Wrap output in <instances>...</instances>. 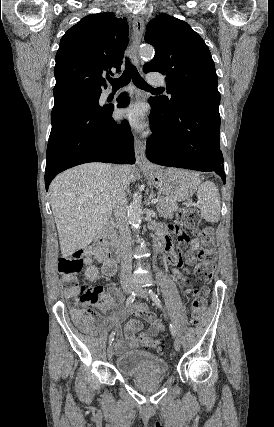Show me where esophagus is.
Instances as JSON below:
<instances>
[{
    "label": "esophagus",
    "instance_id": "34e87169",
    "mask_svg": "<svg viewBox=\"0 0 274 427\" xmlns=\"http://www.w3.org/2000/svg\"><path fill=\"white\" fill-rule=\"evenodd\" d=\"M143 33H144V20L139 16H135L133 19V43H132L131 53H132L133 62L136 65L139 64L137 59V53H138V49L141 43ZM134 145H135L136 163L141 167L150 165V162L145 157V141L139 138L138 136H135Z\"/></svg>",
    "mask_w": 274,
    "mask_h": 427
}]
</instances>
